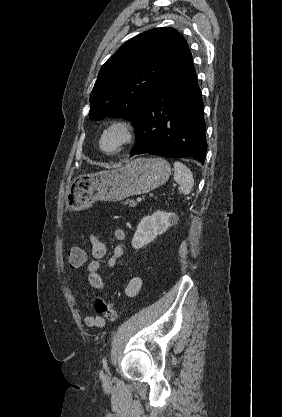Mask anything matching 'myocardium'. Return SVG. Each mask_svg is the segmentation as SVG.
Masks as SVG:
<instances>
[{
    "label": "myocardium",
    "instance_id": "myocardium-1",
    "mask_svg": "<svg viewBox=\"0 0 282 417\" xmlns=\"http://www.w3.org/2000/svg\"><path fill=\"white\" fill-rule=\"evenodd\" d=\"M110 134H115L118 136V141L112 149L113 151L120 150L131 140L132 137L131 127L127 122L124 121L113 123L107 129H105L101 138L102 143L104 138Z\"/></svg>",
    "mask_w": 282,
    "mask_h": 417
}]
</instances>
